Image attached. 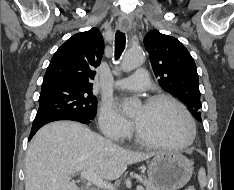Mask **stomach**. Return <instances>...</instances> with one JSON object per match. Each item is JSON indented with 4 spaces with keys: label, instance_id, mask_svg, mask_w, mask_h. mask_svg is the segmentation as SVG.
<instances>
[{
    "label": "stomach",
    "instance_id": "1",
    "mask_svg": "<svg viewBox=\"0 0 234 190\" xmlns=\"http://www.w3.org/2000/svg\"><path fill=\"white\" fill-rule=\"evenodd\" d=\"M193 173L192 163L183 155L164 152L155 155L148 166V179L160 190H178L186 185Z\"/></svg>",
    "mask_w": 234,
    "mask_h": 190
}]
</instances>
